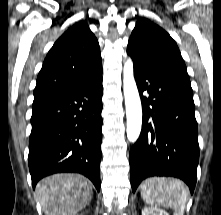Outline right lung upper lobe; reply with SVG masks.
Listing matches in <instances>:
<instances>
[{"mask_svg":"<svg viewBox=\"0 0 221 215\" xmlns=\"http://www.w3.org/2000/svg\"><path fill=\"white\" fill-rule=\"evenodd\" d=\"M101 73L99 43L86 22H78L48 52L37 78L33 105L87 83Z\"/></svg>","mask_w":221,"mask_h":215,"instance_id":"right-lung-upper-lobe-1","label":"right lung upper lobe"}]
</instances>
